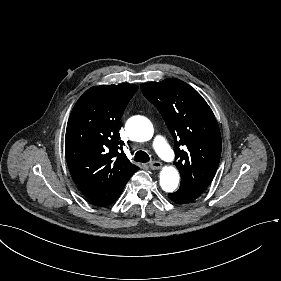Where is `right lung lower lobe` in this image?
Instances as JSON below:
<instances>
[{"instance_id":"98d812e1","label":"right lung lower lobe","mask_w":281,"mask_h":281,"mask_svg":"<svg viewBox=\"0 0 281 281\" xmlns=\"http://www.w3.org/2000/svg\"><path fill=\"white\" fill-rule=\"evenodd\" d=\"M130 177L120 181L119 183H117L112 188L108 189L107 191H105L93 198H90L89 202L95 206H100V207L112 204L120 196L123 188L125 187L126 183L130 179Z\"/></svg>"}]
</instances>
